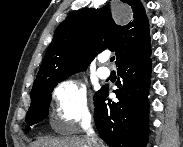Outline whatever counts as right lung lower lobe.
Instances as JSON below:
<instances>
[{
  "instance_id": "right-lung-lower-lobe-1",
  "label": "right lung lower lobe",
  "mask_w": 183,
  "mask_h": 147,
  "mask_svg": "<svg viewBox=\"0 0 183 147\" xmlns=\"http://www.w3.org/2000/svg\"><path fill=\"white\" fill-rule=\"evenodd\" d=\"M151 50L120 62L118 102L107 100L108 88L94 95V119L100 137L110 147H146L148 135V90L151 76Z\"/></svg>"
}]
</instances>
